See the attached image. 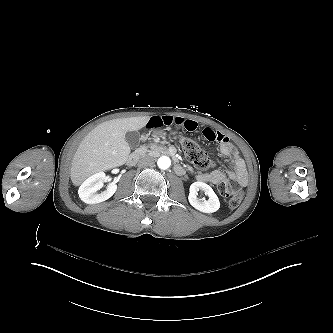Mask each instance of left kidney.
<instances>
[{
    "label": "left kidney",
    "instance_id": "obj_1",
    "mask_svg": "<svg viewBox=\"0 0 333 333\" xmlns=\"http://www.w3.org/2000/svg\"><path fill=\"white\" fill-rule=\"evenodd\" d=\"M199 190L204 191L209 199L204 201L199 200L196 195ZM188 200L195 209L204 213H213L220 208V202L217 195L213 189L204 182H194L191 184Z\"/></svg>",
    "mask_w": 333,
    "mask_h": 333
}]
</instances>
